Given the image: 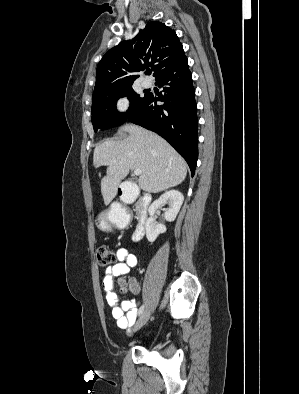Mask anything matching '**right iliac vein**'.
<instances>
[{
	"label": "right iliac vein",
	"instance_id": "right-iliac-vein-1",
	"mask_svg": "<svg viewBox=\"0 0 299 394\" xmlns=\"http://www.w3.org/2000/svg\"><path fill=\"white\" fill-rule=\"evenodd\" d=\"M149 318H150V312H149V310L144 311V312L140 315L139 319L137 320V322H136V324H135V326H134V331H137V330H139L140 328H142V327L147 323V321L149 320Z\"/></svg>",
	"mask_w": 299,
	"mask_h": 394
}]
</instances>
